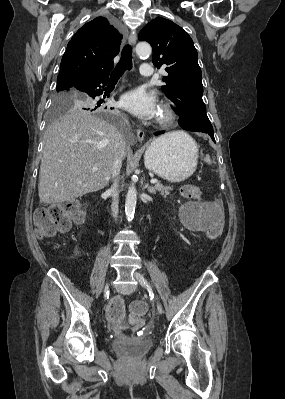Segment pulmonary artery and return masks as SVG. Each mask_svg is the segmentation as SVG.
Listing matches in <instances>:
<instances>
[{
  "label": "pulmonary artery",
  "instance_id": "1",
  "mask_svg": "<svg viewBox=\"0 0 285 399\" xmlns=\"http://www.w3.org/2000/svg\"><path fill=\"white\" fill-rule=\"evenodd\" d=\"M140 76L142 77H152L153 69L150 63H142L139 70Z\"/></svg>",
  "mask_w": 285,
  "mask_h": 399
}]
</instances>
